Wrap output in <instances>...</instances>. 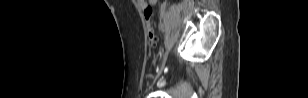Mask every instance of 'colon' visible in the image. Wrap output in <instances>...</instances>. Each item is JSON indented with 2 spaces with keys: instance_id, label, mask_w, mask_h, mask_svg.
Returning a JSON list of instances; mask_svg holds the SVG:
<instances>
[{
  "instance_id": "5ec220e1",
  "label": "colon",
  "mask_w": 308,
  "mask_h": 98,
  "mask_svg": "<svg viewBox=\"0 0 308 98\" xmlns=\"http://www.w3.org/2000/svg\"><path fill=\"white\" fill-rule=\"evenodd\" d=\"M144 13V18H145V22H146V30H147V35L149 38V41L154 45L156 43L157 37L155 35L154 29L152 27V15H153V11L151 7H147L143 10Z\"/></svg>"
}]
</instances>
